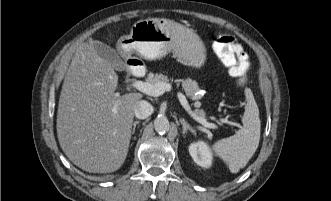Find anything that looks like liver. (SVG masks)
<instances>
[{"instance_id":"liver-1","label":"liver","mask_w":331,"mask_h":201,"mask_svg":"<svg viewBox=\"0 0 331 201\" xmlns=\"http://www.w3.org/2000/svg\"><path fill=\"white\" fill-rule=\"evenodd\" d=\"M117 85L114 68L97 55L92 40L79 45L63 82L56 128L63 152L84 171L111 173L127 157L134 108L143 95H119Z\"/></svg>"}]
</instances>
